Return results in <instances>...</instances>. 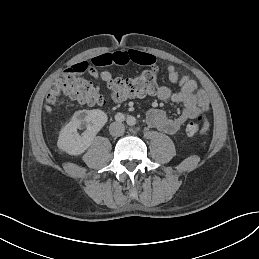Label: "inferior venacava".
<instances>
[{"label": "inferior vena cava", "mask_w": 259, "mask_h": 259, "mask_svg": "<svg viewBox=\"0 0 259 259\" xmlns=\"http://www.w3.org/2000/svg\"><path fill=\"white\" fill-rule=\"evenodd\" d=\"M109 131L113 136H121L125 131V127L122 123L113 122L109 127Z\"/></svg>", "instance_id": "1"}]
</instances>
